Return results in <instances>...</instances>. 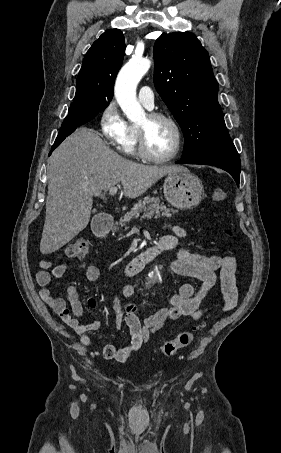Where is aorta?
Segmentation results:
<instances>
[{
	"instance_id": "aorta-1",
	"label": "aorta",
	"mask_w": 281,
	"mask_h": 453,
	"mask_svg": "<svg viewBox=\"0 0 281 453\" xmlns=\"http://www.w3.org/2000/svg\"><path fill=\"white\" fill-rule=\"evenodd\" d=\"M151 66L148 58H132L120 70L115 83V97L122 111L132 122H139L145 117V111L136 97L139 81ZM154 283V278H147V285Z\"/></svg>"
}]
</instances>
